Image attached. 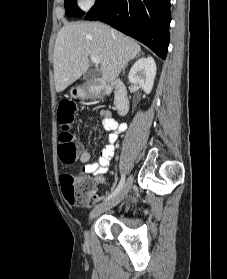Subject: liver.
Listing matches in <instances>:
<instances>
[{"mask_svg":"<svg viewBox=\"0 0 227 279\" xmlns=\"http://www.w3.org/2000/svg\"><path fill=\"white\" fill-rule=\"evenodd\" d=\"M141 51L139 44L99 22H72L59 31L54 47V80L58 93L79 79L89 68V57L100 58V72L114 81L122 68Z\"/></svg>","mask_w":227,"mask_h":279,"instance_id":"obj_1","label":"liver"}]
</instances>
